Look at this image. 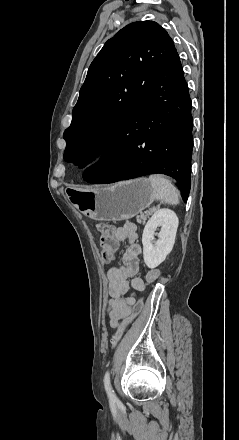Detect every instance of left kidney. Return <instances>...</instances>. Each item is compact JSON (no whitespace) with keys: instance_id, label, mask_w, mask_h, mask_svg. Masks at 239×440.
Returning a JSON list of instances; mask_svg holds the SVG:
<instances>
[{"instance_id":"1","label":"left kidney","mask_w":239,"mask_h":440,"mask_svg":"<svg viewBox=\"0 0 239 440\" xmlns=\"http://www.w3.org/2000/svg\"><path fill=\"white\" fill-rule=\"evenodd\" d=\"M179 220L172 210H158L148 220L142 234L143 258L146 266L154 270L164 262L166 256L170 254L176 238ZM160 228L158 234L159 240L153 244L155 240V232Z\"/></svg>"}]
</instances>
